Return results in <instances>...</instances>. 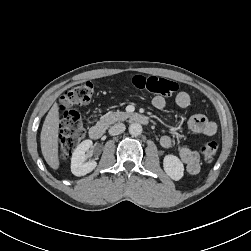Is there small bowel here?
I'll return each instance as SVG.
<instances>
[{
  "label": "small bowel",
  "mask_w": 251,
  "mask_h": 251,
  "mask_svg": "<svg viewBox=\"0 0 251 251\" xmlns=\"http://www.w3.org/2000/svg\"><path fill=\"white\" fill-rule=\"evenodd\" d=\"M176 104L180 108H186L190 105L191 98L187 92H180L176 96ZM152 105L158 109L162 110L166 106V100L162 96H155L152 99ZM189 128L196 134L202 137H210L216 133V124L209 121L204 115L196 114L193 115L188 122ZM160 144L163 148H170L173 144V140L170 136L164 135L160 139ZM179 157L184 163L186 170L191 175H196L200 170V162L197 153L191 150L189 147H181L179 149Z\"/></svg>",
  "instance_id": "small-bowel-1"
}]
</instances>
